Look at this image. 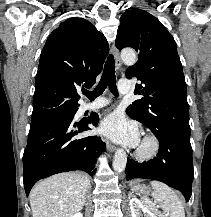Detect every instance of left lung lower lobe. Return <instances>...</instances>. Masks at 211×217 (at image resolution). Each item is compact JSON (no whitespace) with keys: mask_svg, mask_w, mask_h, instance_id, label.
Here are the masks:
<instances>
[{"mask_svg":"<svg viewBox=\"0 0 211 217\" xmlns=\"http://www.w3.org/2000/svg\"><path fill=\"white\" fill-rule=\"evenodd\" d=\"M154 134L160 143L157 157L143 163L128 158L126 179L145 178L161 181L179 190L186 201H189L193 181L190 138L170 131Z\"/></svg>","mask_w":211,"mask_h":217,"instance_id":"obj_1","label":"left lung lower lobe"}]
</instances>
